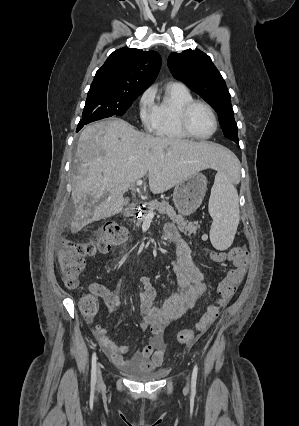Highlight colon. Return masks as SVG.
<instances>
[{"instance_id":"1","label":"colon","mask_w":299,"mask_h":426,"mask_svg":"<svg viewBox=\"0 0 299 426\" xmlns=\"http://www.w3.org/2000/svg\"><path fill=\"white\" fill-rule=\"evenodd\" d=\"M126 231L116 223L107 222L102 225L94 239L85 242L64 240L58 251V261L64 283L69 289H76L79 285L80 275L84 270L86 258L96 252H108L120 245L126 239ZM215 262L230 261L233 268L219 282L217 287V303L208 308L194 328L185 329L177 334V341L181 344H190L198 335L208 329L217 319L220 309L225 306L235 295L242 283L249 261L246 247L239 246L229 251H215L211 254ZM99 301L95 294L84 295L80 300V308L87 317L96 315Z\"/></svg>"}]
</instances>
